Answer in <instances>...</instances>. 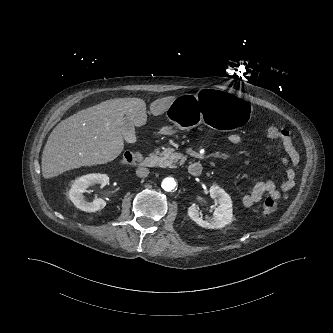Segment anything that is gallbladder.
<instances>
[{"mask_svg":"<svg viewBox=\"0 0 333 333\" xmlns=\"http://www.w3.org/2000/svg\"><path fill=\"white\" fill-rule=\"evenodd\" d=\"M121 133H122L124 139L128 143H135L136 142L134 124L127 117H124V119L122 121Z\"/></svg>","mask_w":333,"mask_h":333,"instance_id":"1","label":"gallbladder"}]
</instances>
